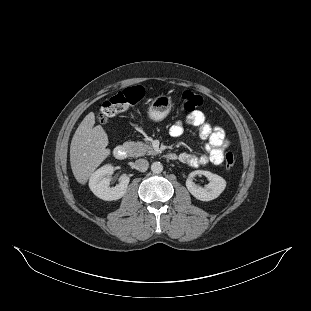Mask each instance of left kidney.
I'll use <instances>...</instances> for the list:
<instances>
[{
	"mask_svg": "<svg viewBox=\"0 0 311 311\" xmlns=\"http://www.w3.org/2000/svg\"><path fill=\"white\" fill-rule=\"evenodd\" d=\"M196 175H204L210 182L205 186H199L193 182V178ZM226 182L220 176L208 171V170H195L188 174L186 179V187L196 198L209 201L217 198L224 190Z\"/></svg>",
	"mask_w": 311,
	"mask_h": 311,
	"instance_id": "5707ae66",
	"label": "left kidney"
}]
</instances>
